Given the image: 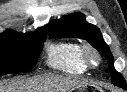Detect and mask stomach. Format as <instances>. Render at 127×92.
Returning <instances> with one entry per match:
<instances>
[{
  "label": "stomach",
  "mask_w": 127,
  "mask_h": 92,
  "mask_svg": "<svg viewBox=\"0 0 127 92\" xmlns=\"http://www.w3.org/2000/svg\"><path fill=\"white\" fill-rule=\"evenodd\" d=\"M84 90H87V87L80 86V87L77 88V91L76 92H83Z\"/></svg>",
  "instance_id": "1"
}]
</instances>
